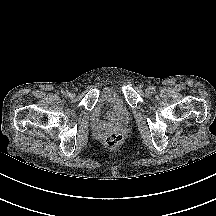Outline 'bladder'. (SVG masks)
I'll use <instances>...</instances> for the list:
<instances>
[{"label":"bladder","instance_id":"31cf9c89","mask_svg":"<svg viewBox=\"0 0 216 216\" xmlns=\"http://www.w3.org/2000/svg\"><path fill=\"white\" fill-rule=\"evenodd\" d=\"M103 109L109 110V115L103 122V125H126L131 117L130 110L124 104L122 99L113 93L105 94L101 97L97 107L94 110L95 117L100 119L103 116Z\"/></svg>","mask_w":216,"mask_h":216}]
</instances>
